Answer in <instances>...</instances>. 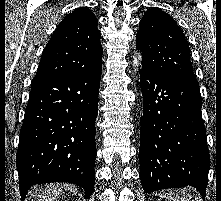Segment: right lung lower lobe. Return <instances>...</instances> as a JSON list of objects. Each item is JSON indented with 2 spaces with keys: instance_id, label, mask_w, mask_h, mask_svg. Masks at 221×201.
<instances>
[{
  "instance_id": "obj_1",
  "label": "right lung lower lobe",
  "mask_w": 221,
  "mask_h": 201,
  "mask_svg": "<svg viewBox=\"0 0 221 201\" xmlns=\"http://www.w3.org/2000/svg\"><path fill=\"white\" fill-rule=\"evenodd\" d=\"M101 69L32 80L16 154L22 200L31 186L69 182L94 190Z\"/></svg>"
}]
</instances>
